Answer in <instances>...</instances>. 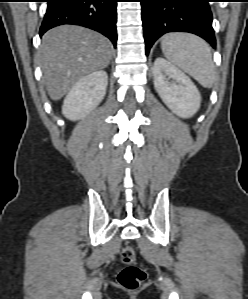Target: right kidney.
Masks as SVG:
<instances>
[{
  "mask_svg": "<svg viewBox=\"0 0 248 299\" xmlns=\"http://www.w3.org/2000/svg\"><path fill=\"white\" fill-rule=\"evenodd\" d=\"M107 84L108 75L103 70L81 78L64 99L63 115L69 120L76 121L89 114L103 100Z\"/></svg>",
  "mask_w": 248,
  "mask_h": 299,
  "instance_id": "right-kidney-1",
  "label": "right kidney"
}]
</instances>
